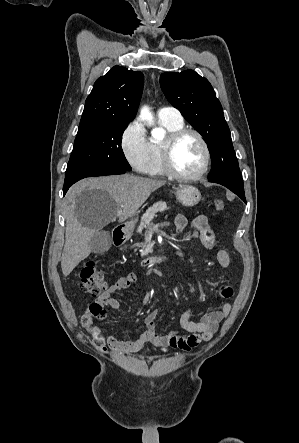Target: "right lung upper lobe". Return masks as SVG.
<instances>
[{"label":"right lung upper lobe","instance_id":"cb5924a9","mask_svg":"<svg viewBox=\"0 0 299 443\" xmlns=\"http://www.w3.org/2000/svg\"><path fill=\"white\" fill-rule=\"evenodd\" d=\"M143 74L114 66L97 79L86 99L78 131L135 118L143 90Z\"/></svg>","mask_w":299,"mask_h":443}]
</instances>
